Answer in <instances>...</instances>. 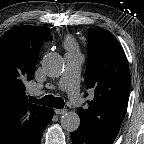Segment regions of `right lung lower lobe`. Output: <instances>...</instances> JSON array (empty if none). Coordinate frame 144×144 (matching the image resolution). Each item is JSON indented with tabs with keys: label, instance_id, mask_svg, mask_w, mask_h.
<instances>
[{
	"label": "right lung lower lobe",
	"instance_id": "98d812e1",
	"mask_svg": "<svg viewBox=\"0 0 144 144\" xmlns=\"http://www.w3.org/2000/svg\"><path fill=\"white\" fill-rule=\"evenodd\" d=\"M54 114V111L52 109V111L50 112L46 122L42 125V127L36 132V134L34 135V137L31 139V141L28 144H40V140H41V133L42 130L45 128V126L48 125V123L50 122V120L52 119Z\"/></svg>",
	"mask_w": 144,
	"mask_h": 144
}]
</instances>
